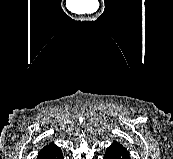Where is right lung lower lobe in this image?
<instances>
[{"label": "right lung lower lobe", "instance_id": "obj_1", "mask_svg": "<svg viewBox=\"0 0 173 159\" xmlns=\"http://www.w3.org/2000/svg\"><path fill=\"white\" fill-rule=\"evenodd\" d=\"M40 159H63V154L61 152V149H59L41 156Z\"/></svg>", "mask_w": 173, "mask_h": 159}]
</instances>
